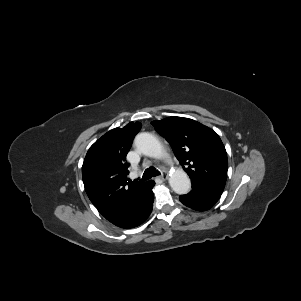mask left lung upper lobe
Returning a JSON list of instances; mask_svg holds the SVG:
<instances>
[{
  "label": "left lung upper lobe",
  "instance_id": "obj_1",
  "mask_svg": "<svg viewBox=\"0 0 301 301\" xmlns=\"http://www.w3.org/2000/svg\"><path fill=\"white\" fill-rule=\"evenodd\" d=\"M171 145L192 183L224 190L228 160L217 133L192 119L168 117L151 123Z\"/></svg>",
  "mask_w": 301,
  "mask_h": 301
}]
</instances>
